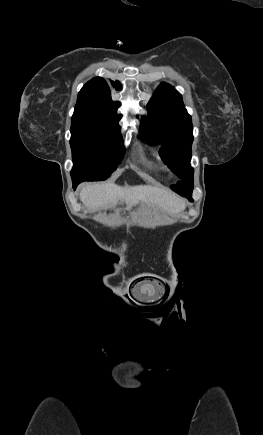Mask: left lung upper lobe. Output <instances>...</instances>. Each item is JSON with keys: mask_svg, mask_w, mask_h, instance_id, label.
<instances>
[{"mask_svg": "<svg viewBox=\"0 0 263 435\" xmlns=\"http://www.w3.org/2000/svg\"><path fill=\"white\" fill-rule=\"evenodd\" d=\"M148 117H142L140 134L150 145L162 143L160 155L180 178L171 188L189 196L193 190V169L190 167L193 127L182 96L169 84L161 83L147 105Z\"/></svg>", "mask_w": 263, "mask_h": 435, "instance_id": "5c2ea615", "label": "left lung upper lobe"}]
</instances>
